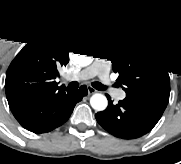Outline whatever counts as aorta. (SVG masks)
<instances>
[{"instance_id": "obj_1", "label": "aorta", "mask_w": 181, "mask_h": 164, "mask_svg": "<svg viewBox=\"0 0 181 164\" xmlns=\"http://www.w3.org/2000/svg\"><path fill=\"white\" fill-rule=\"evenodd\" d=\"M72 56H73V60L81 66H87L93 60L92 57H89L87 55L77 54V53H72ZM90 105L96 111H102L106 109L108 105V101L105 95L101 93H95L90 98Z\"/></svg>"}]
</instances>
